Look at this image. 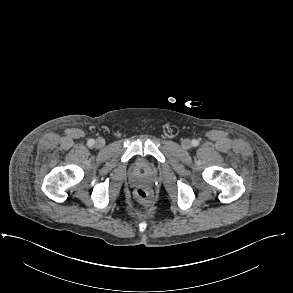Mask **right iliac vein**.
<instances>
[{
	"mask_svg": "<svg viewBox=\"0 0 293 293\" xmlns=\"http://www.w3.org/2000/svg\"><path fill=\"white\" fill-rule=\"evenodd\" d=\"M105 145V140L103 138H98L95 142V146L98 148H102Z\"/></svg>",
	"mask_w": 293,
	"mask_h": 293,
	"instance_id": "63e3f726",
	"label": "right iliac vein"
}]
</instances>
